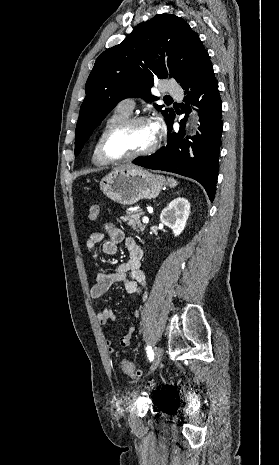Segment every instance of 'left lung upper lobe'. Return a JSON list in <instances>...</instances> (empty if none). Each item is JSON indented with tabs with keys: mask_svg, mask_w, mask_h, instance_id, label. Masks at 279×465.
Masks as SVG:
<instances>
[{
	"mask_svg": "<svg viewBox=\"0 0 279 465\" xmlns=\"http://www.w3.org/2000/svg\"><path fill=\"white\" fill-rule=\"evenodd\" d=\"M205 52L198 34L172 14L156 15L139 24L122 43L103 52L85 86L86 97L75 130V155L119 101L130 97L156 100L149 89L153 75L173 77L182 84L193 74ZM157 53L163 57L166 53L167 57L153 63L151 58ZM162 113L170 126L174 110L165 109Z\"/></svg>",
	"mask_w": 279,
	"mask_h": 465,
	"instance_id": "5c2ea615",
	"label": "left lung upper lobe"
}]
</instances>
